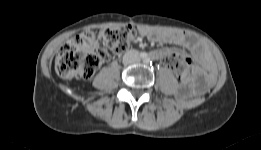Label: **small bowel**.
Returning a JSON list of instances; mask_svg holds the SVG:
<instances>
[{"mask_svg": "<svg viewBox=\"0 0 261 150\" xmlns=\"http://www.w3.org/2000/svg\"><path fill=\"white\" fill-rule=\"evenodd\" d=\"M142 36L147 37L148 40L154 43H162V44H172L178 45L185 49L191 51L196 60L206 69L208 72V77H211L214 72V67L212 63V59L206 49V47L198 41L187 37L181 34H174L165 31L159 30H150V29H141L140 31ZM170 52L168 49L156 50L152 51L150 55L154 59H160L163 61V58ZM199 71V70H198ZM200 86H203V82L200 81L198 83Z\"/></svg>", "mask_w": 261, "mask_h": 150, "instance_id": "1", "label": "small bowel"}]
</instances>
